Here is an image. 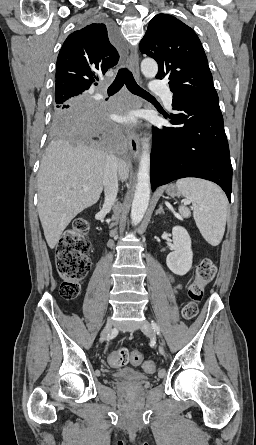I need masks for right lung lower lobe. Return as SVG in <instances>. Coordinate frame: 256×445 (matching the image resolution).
<instances>
[{
    "mask_svg": "<svg viewBox=\"0 0 256 445\" xmlns=\"http://www.w3.org/2000/svg\"><path fill=\"white\" fill-rule=\"evenodd\" d=\"M110 33L113 37V32ZM110 112L111 105L87 99L80 101L62 120L72 140H83L108 153L124 155L127 147L109 117Z\"/></svg>",
    "mask_w": 256,
    "mask_h": 445,
    "instance_id": "1",
    "label": "right lung lower lobe"
}]
</instances>
